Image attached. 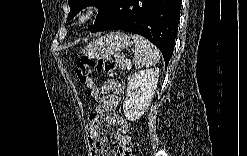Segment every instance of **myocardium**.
<instances>
[{"label":"myocardium","instance_id":"1","mask_svg":"<svg viewBox=\"0 0 247 156\" xmlns=\"http://www.w3.org/2000/svg\"><path fill=\"white\" fill-rule=\"evenodd\" d=\"M95 8L92 6L85 7L82 11L78 13L77 23L86 24L89 22L95 15Z\"/></svg>","mask_w":247,"mask_h":156}]
</instances>
